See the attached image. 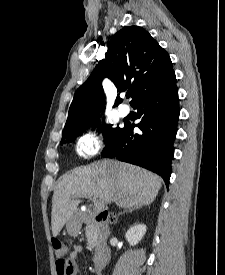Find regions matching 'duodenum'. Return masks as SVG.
<instances>
[{"instance_id":"1","label":"duodenum","mask_w":225,"mask_h":275,"mask_svg":"<svg viewBox=\"0 0 225 275\" xmlns=\"http://www.w3.org/2000/svg\"><path fill=\"white\" fill-rule=\"evenodd\" d=\"M99 215V214H98ZM97 217L91 221L88 218H84V222H93L95 224L94 230L97 235L96 252L94 256L95 269L97 271L103 269L110 260L111 250L107 245L106 240L110 236L108 225L105 221H102Z\"/></svg>"}]
</instances>
